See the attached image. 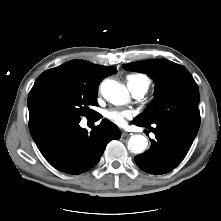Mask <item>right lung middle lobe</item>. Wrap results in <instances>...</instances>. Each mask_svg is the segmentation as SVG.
I'll list each match as a JSON object with an SVG mask.
<instances>
[{"label": "right lung middle lobe", "mask_w": 221, "mask_h": 221, "mask_svg": "<svg viewBox=\"0 0 221 221\" xmlns=\"http://www.w3.org/2000/svg\"><path fill=\"white\" fill-rule=\"evenodd\" d=\"M98 88L69 79H59L45 85L38 94V107L42 115L64 114L89 117L96 113Z\"/></svg>", "instance_id": "right-lung-middle-lobe-1"}]
</instances>
